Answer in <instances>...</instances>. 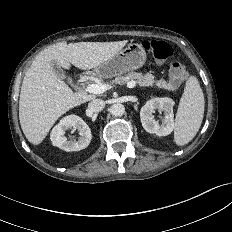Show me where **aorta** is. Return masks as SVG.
Returning <instances> with one entry per match:
<instances>
[{
    "label": "aorta",
    "instance_id": "1",
    "mask_svg": "<svg viewBox=\"0 0 232 232\" xmlns=\"http://www.w3.org/2000/svg\"><path fill=\"white\" fill-rule=\"evenodd\" d=\"M110 112L113 116L120 117L125 113V107L121 103H116L111 106Z\"/></svg>",
    "mask_w": 232,
    "mask_h": 232
}]
</instances>
